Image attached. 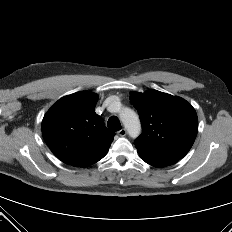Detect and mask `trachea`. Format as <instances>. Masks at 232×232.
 Masks as SVG:
<instances>
[{
    "label": "trachea",
    "instance_id": "trachea-1",
    "mask_svg": "<svg viewBox=\"0 0 232 232\" xmlns=\"http://www.w3.org/2000/svg\"><path fill=\"white\" fill-rule=\"evenodd\" d=\"M107 126L111 131H119L122 128L120 121L116 116L109 118Z\"/></svg>",
    "mask_w": 232,
    "mask_h": 232
}]
</instances>
